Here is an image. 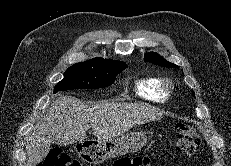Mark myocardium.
<instances>
[{
  "label": "myocardium",
  "instance_id": "obj_1",
  "mask_svg": "<svg viewBox=\"0 0 231 166\" xmlns=\"http://www.w3.org/2000/svg\"><path fill=\"white\" fill-rule=\"evenodd\" d=\"M160 82H161V87L166 94H168L172 91L174 85H173V82L170 78L164 77V78L160 79Z\"/></svg>",
  "mask_w": 231,
  "mask_h": 166
}]
</instances>
